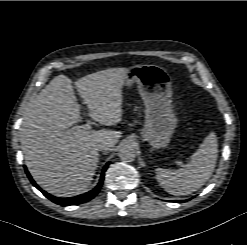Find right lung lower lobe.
<instances>
[{"label":"right lung lower lobe","mask_w":247,"mask_h":245,"mask_svg":"<svg viewBox=\"0 0 247 245\" xmlns=\"http://www.w3.org/2000/svg\"><path fill=\"white\" fill-rule=\"evenodd\" d=\"M108 166H109V162L104 166L102 173H101L100 181L93 190H91L87 193H84V194H81V195H78L75 197H69V198H59V197H55V196L48 194L47 192L43 191L34 182V180L32 179V177L30 176V174L27 170H26V174H27L28 178L30 179L31 183L37 189H39L47 198H49L51 201H53L54 203H56L58 205L68 206V205H76V204L84 203V202H87V201L91 200L92 198H94L98 194V192L100 191V188L102 187L104 176H105V171L107 170Z\"/></svg>","instance_id":"1"}]
</instances>
